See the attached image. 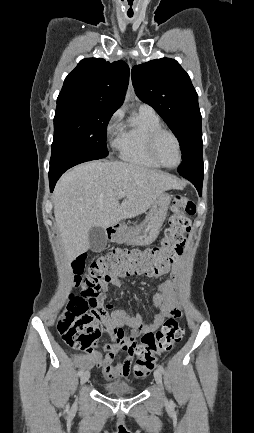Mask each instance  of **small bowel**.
Listing matches in <instances>:
<instances>
[{"mask_svg":"<svg viewBox=\"0 0 254 433\" xmlns=\"http://www.w3.org/2000/svg\"><path fill=\"white\" fill-rule=\"evenodd\" d=\"M176 259L170 262L163 271L147 276L155 277L167 273L170 264L175 262ZM108 285L118 288L121 285V281L119 277H116L109 284L96 291L101 303L99 307V335L101 332L109 334L114 342L102 345L104 354L99 351H95L92 354H81L77 357L76 362L78 367L84 370L97 366L101 368L103 376L106 379L115 380L127 377L130 374L135 355L134 348L137 346L136 338L158 329L166 319L179 312V309L173 301L176 289L174 280L165 281L158 285V294L152 300L158 312L151 322H145L141 315H132L127 310H112L109 304H104L106 298L105 292L108 290ZM84 296L87 297V294L84 293ZM124 327H129L131 330L127 332L124 330ZM119 351H123L125 356L122 361L113 364L114 357Z\"/></svg>","mask_w":254,"mask_h":433,"instance_id":"small-bowel-1","label":"small bowel"}]
</instances>
